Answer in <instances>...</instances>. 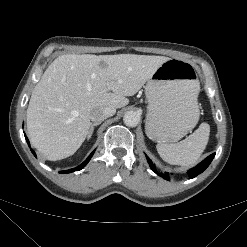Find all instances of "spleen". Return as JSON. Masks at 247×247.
<instances>
[{
  "mask_svg": "<svg viewBox=\"0 0 247 247\" xmlns=\"http://www.w3.org/2000/svg\"><path fill=\"white\" fill-rule=\"evenodd\" d=\"M196 108L198 109L197 102ZM210 126L207 123L200 124L186 139L175 144H157L156 148L160 157L171 165L190 166L195 164L209 140Z\"/></svg>",
  "mask_w": 247,
  "mask_h": 247,
  "instance_id": "3e777b00",
  "label": "spleen"
}]
</instances>
